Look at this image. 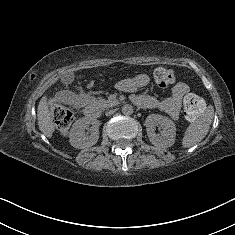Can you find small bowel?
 Wrapping results in <instances>:
<instances>
[{
  "mask_svg": "<svg viewBox=\"0 0 235 235\" xmlns=\"http://www.w3.org/2000/svg\"><path fill=\"white\" fill-rule=\"evenodd\" d=\"M147 83L148 77L146 75H139L132 81L120 83L119 86L122 88H140ZM187 93L188 86L184 83H177L173 87L170 96L166 98L159 99L153 96L135 95L132 100L136 105L142 108L164 111L171 119L176 120L179 117L182 100Z\"/></svg>",
  "mask_w": 235,
  "mask_h": 235,
  "instance_id": "c3829d8e",
  "label": "small bowel"
}]
</instances>
